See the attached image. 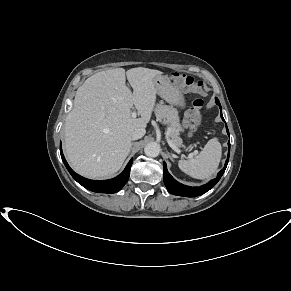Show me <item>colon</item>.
<instances>
[{
	"instance_id": "1",
	"label": "colon",
	"mask_w": 291,
	"mask_h": 291,
	"mask_svg": "<svg viewBox=\"0 0 291 291\" xmlns=\"http://www.w3.org/2000/svg\"><path fill=\"white\" fill-rule=\"evenodd\" d=\"M172 78L179 82V83H182L184 85H195L198 83L195 82V80L188 76V75H185L183 73H180V72H173L172 73ZM203 106V101L201 99H197L194 101L193 103V107H192V110L187 118V121L192 124V123H195L198 119V115H199V110L201 109V107Z\"/></svg>"
}]
</instances>
